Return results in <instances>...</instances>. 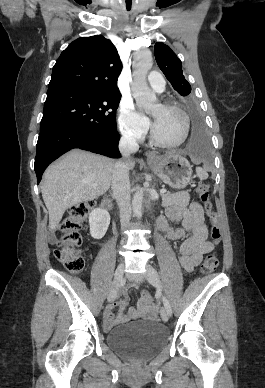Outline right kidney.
<instances>
[{
	"mask_svg": "<svg viewBox=\"0 0 265 388\" xmlns=\"http://www.w3.org/2000/svg\"><path fill=\"white\" fill-rule=\"evenodd\" d=\"M110 224V216L107 210L95 208L89 214L90 234L95 240H101L105 236Z\"/></svg>",
	"mask_w": 265,
	"mask_h": 388,
	"instance_id": "ca27d5eb",
	"label": "right kidney"
}]
</instances>
